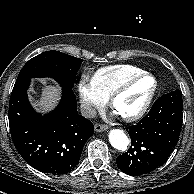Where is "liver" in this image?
Masks as SVG:
<instances>
[{
  "label": "liver",
  "instance_id": "obj_1",
  "mask_svg": "<svg viewBox=\"0 0 194 194\" xmlns=\"http://www.w3.org/2000/svg\"><path fill=\"white\" fill-rule=\"evenodd\" d=\"M60 99V88L55 85H45L42 88V94L36 101V109L39 112L46 113L52 110Z\"/></svg>",
  "mask_w": 194,
  "mask_h": 194
}]
</instances>
